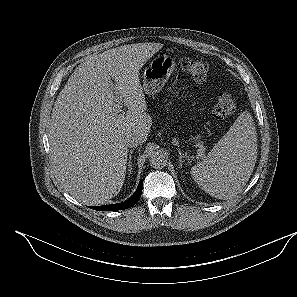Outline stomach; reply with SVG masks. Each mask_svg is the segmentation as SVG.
<instances>
[{"mask_svg":"<svg viewBox=\"0 0 297 297\" xmlns=\"http://www.w3.org/2000/svg\"><path fill=\"white\" fill-rule=\"evenodd\" d=\"M175 66V60L166 54L154 58L144 71V92L147 95L158 93L174 72Z\"/></svg>","mask_w":297,"mask_h":297,"instance_id":"stomach-1","label":"stomach"}]
</instances>
